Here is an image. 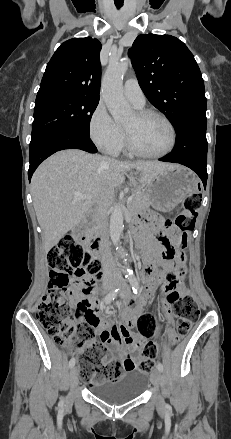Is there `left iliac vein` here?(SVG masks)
<instances>
[{
	"mask_svg": "<svg viewBox=\"0 0 231 439\" xmlns=\"http://www.w3.org/2000/svg\"><path fill=\"white\" fill-rule=\"evenodd\" d=\"M117 286L122 288L121 295L125 299H129L131 297L130 287L124 281H119L117 283ZM160 381H161V373L158 369H156L151 373V383L158 389L160 386ZM163 405H164L163 399L161 398V396H158L157 397V406L162 407Z\"/></svg>",
	"mask_w": 231,
	"mask_h": 439,
	"instance_id": "1",
	"label": "left iliac vein"
}]
</instances>
